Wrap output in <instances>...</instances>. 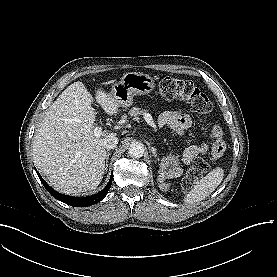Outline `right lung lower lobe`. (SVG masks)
I'll use <instances>...</instances> for the list:
<instances>
[{"label": "right lung lower lobe", "instance_id": "obj_1", "mask_svg": "<svg viewBox=\"0 0 277 277\" xmlns=\"http://www.w3.org/2000/svg\"><path fill=\"white\" fill-rule=\"evenodd\" d=\"M36 172H37L42 184L44 185V187L54 198L66 203V204H69L71 206H75V207H86V206L94 205V204L100 202L102 199H104L105 196L107 195L108 190L111 187L112 178H113V174H111L110 180H109L108 184L106 185V187L103 190H101L100 192H98L97 194H94V195H91L88 197L78 198V197H72V196L63 195L61 193H58L44 181V179L40 176V174L37 170H36Z\"/></svg>", "mask_w": 277, "mask_h": 277}]
</instances>
